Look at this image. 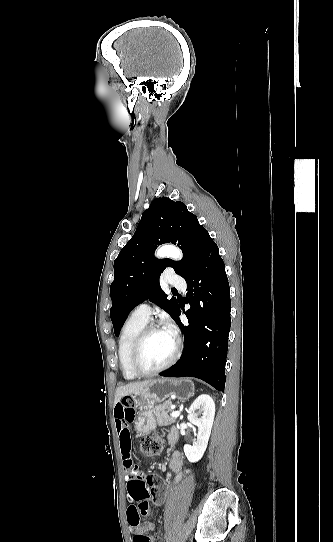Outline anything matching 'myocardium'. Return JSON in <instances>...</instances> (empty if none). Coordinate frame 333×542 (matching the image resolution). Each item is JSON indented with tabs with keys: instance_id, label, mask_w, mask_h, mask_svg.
<instances>
[{
	"instance_id": "myocardium-1",
	"label": "myocardium",
	"mask_w": 333,
	"mask_h": 542,
	"mask_svg": "<svg viewBox=\"0 0 333 542\" xmlns=\"http://www.w3.org/2000/svg\"><path fill=\"white\" fill-rule=\"evenodd\" d=\"M159 329H163V328L158 324H148V325H146L140 331V333L138 334V336L136 337L135 341L132 344V347H131V350H130V356H129V364H130L131 370L137 376H142V377L154 376V375L166 370L171 365H173L177 361V359H178V357L180 355L181 341H180L179 337L176 336L174 338V350H173V353L171 354V356L169 357V359L165 363H163L162 365H160L159 367H157V368H155L153 370H143L139 366V356H140L142 347H143L146 339L148 338V336L152 332H154L156 330H159Z\"/></svg>"
}]
</instances>
